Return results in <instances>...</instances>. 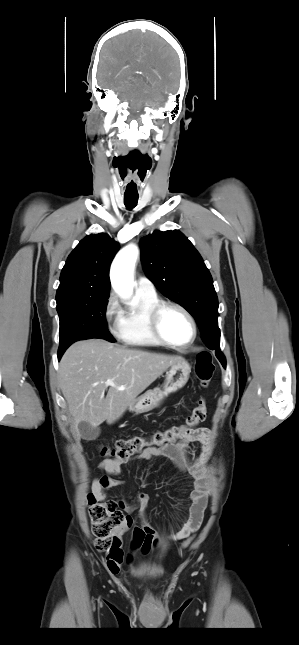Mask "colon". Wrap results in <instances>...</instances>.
I'll return each instance as SVG.
<instances>
[{
  "label": "colon",
  "instance_id": "5ec220e1",
  "mask_svg": "<svg viewBox=\"0 0 299 645\" xmlns=\"http://www.w3.org/2000/svg\"><path fill=\"white\" fill-rule=\"evenodd\" d=\"M195 372L202 387H207L213 377L214 364L208 352L197 355ZM206 403L200 399L198 405L186 417L181 425H174L167 429L155 431L149 438L133 436L120 439L114 448L102 446L100 453L107 460H114L121 464L130 457L140 453L147 447H164L181 440L188 430L195 427L206 417ZM88 511L91 519L94 545L99 551L110 552L115 544V532L126 523V517L114 500H98L92 494L88 498ZM192 540L188 537L182 544L187 547Z\"/></svg>",
  "mask_w": 299,
  "mask_h": 645
}]
</instances>
